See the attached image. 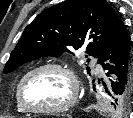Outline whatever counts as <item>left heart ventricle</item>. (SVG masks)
<instances>
[{
	"label": "left heart ventricle",
	"mask_w": 133,
	"mask_h": 118,
	"mask_svg": "<svg viewBox=\"0 0 133 118\" xmlns=\"http://www.w3.org/2000/svg\"><path fill=\"white\" fill-rule=\"evenodd\" d=\"M71 95L70 80L65 73L55 69L39 71L29 77L24 88L26 102L33 107H52L68 100Z\"/></svg>",
	"instance_id": "obj_1"
}]
</instances>
